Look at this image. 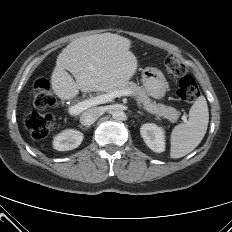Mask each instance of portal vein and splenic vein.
Listing matches in <instances>:
<instances>
[{"label": "portal vein and splenic vein", "mask_w": 232, "mask_h": 232, "mask_svg": "<svg viewBox=\"0 0 232 232\" xmlns=\"http://www.w3.org/2000/svg\"><path fill=\"white\" fill-rule=\"evenodd\" d=\"M121 96H135L131 91L129 90H119V91H113V92H109L107 94H102L96 97H91L89 99H86L84 101L78 102L76 105L74 106H70L68 108V112L70 114H80L81 112H83L84 110L95 106V105H99V104H104L107 103L109 101H112L114 98L116 97H121ZM137 103H139V99L135 98ZM182 119L185 121L186 120V116H183Z\"/></svg>", "instance_id": "obj_1"}]
</instances>
